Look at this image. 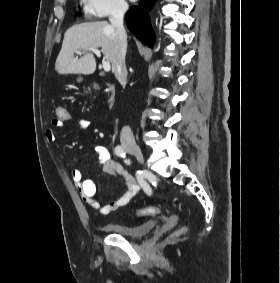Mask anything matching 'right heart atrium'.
Segmentation results:
<instances>
[{
	"instance_id": "1",
	"label": "right heart atrium",
	"mask_w": 280,
	"mask_h": 283,
	"mask_svg": "<svg viewBox=\"0 0 280 283\" xmlns=\"http://www.w3.org/2000/svg\"><path fill=\"white\" fill-rule=\"evenodd\" d=\"M82 2L85 14L98 19L121 15L128 8L126 0H82Z\"/></svg>"
}]
</instances>
